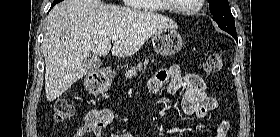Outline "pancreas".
I'll use <instances>...</instances> for the list:
<instances>
[{
    "mask_svg": "<svg viewBox=\"0 0 280 137\" xmlns=\"http://www.w3.org/2000/svg\"><path fill=\"white\" fill-rule=\"evenodd\" d=\"M148 65V60L144 61V64H142L141 62L138 63L137 66L132 67L126 74L125 77L132 79L133 77H136L138 75V72L141 73L142 71H144L147 68Z\"/></svg>",
    "mask_w": 280,
    "mask_h": 137,
    "instance_id": "pancreas-1",
    "label": "pancreas"
}]
</instances>
